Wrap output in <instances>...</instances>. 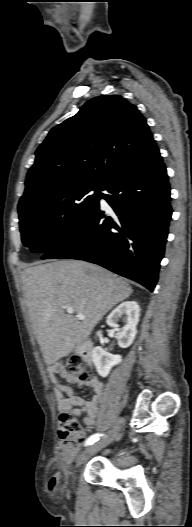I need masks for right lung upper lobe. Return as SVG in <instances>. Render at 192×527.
<instances>
[{
  "label": "right lung upper lobe",
  "instance_id": "1",
  "mask_svg": "<svg viewBox=\"0 0 192 527\" xmlns=\"http://www.w3.org/2000/svg\"><path fill=\"white\" fill-rule=\"evenodd\" d=\"M152 140L135 105L120 95L95 97L38 147L18 206L81 184L104 185Z\"/></svg>",
  "mask_w": 192,
  "mask_h": 527
}]
</instances>
